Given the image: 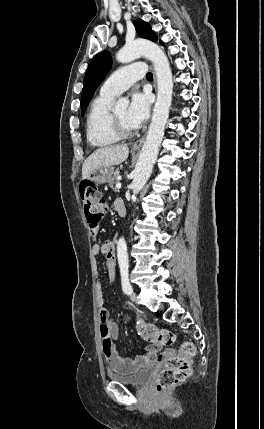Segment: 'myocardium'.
Listing matches in <instances>:
<instances>
[{
    "label": "myocardium",
    "mask_w": 264,
    "mask_h": 429,
    "mask_svg": "<svg viewBox=\"0 0 264 429\" xmlns=\"http://www.w3.org/2000/svg\"><path fill=\"white\" fill-rule=\"evenodd\" d=\"M110 126L113 133L119 139H127L135 135V130H129L125 128L122 123L118 120L114 110L110 111Z\"/></svg>",
    "instance_id": "obj_1"
}]
</instances>
